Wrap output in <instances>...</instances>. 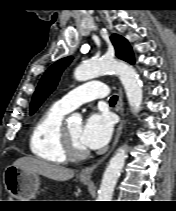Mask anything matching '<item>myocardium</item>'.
Returning <instances> with one entry per match:
<instances>
[{"label": "myocardium", "instance_id": "obj_1", "mask_svg": "<svg viewBox=\"0 0 176 211\" xmlns=\"http://www.w3.org/2000/svg\"><path fill=\"white\" fill-rule=\"evenodd\" d=\"M60 135L63 150L69 160H82L89 155L87 149H79L74 145L68 133L67 126L64 124L61 126Z\"/></svg>", "mask_w": 176, "mask_h": 211}]
</instances>
